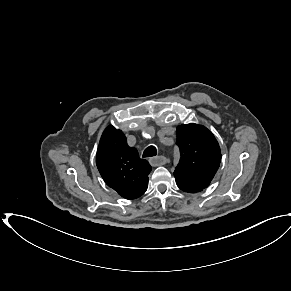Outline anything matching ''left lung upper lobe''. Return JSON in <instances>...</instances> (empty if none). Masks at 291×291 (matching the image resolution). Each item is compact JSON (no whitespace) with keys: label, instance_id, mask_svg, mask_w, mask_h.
Returning <instances> with one entry per match:
<instances>
[{"label":"left lung upper lobe","instance_id":"1","mask_svg":"<svg viewBox=\"0 0 291 291\" xmlns=\"http://www.w3.org/2000/svg\"><path fill=\"white\" fill-rule=\"evenodd\" d=\"M176 133L181 155L174 171L176 184L185 192H200L209 186L219 168V144L213 133L202 125H180Z\"/></svg>","mask_w":291,"mask_h":291}]
</instances>
